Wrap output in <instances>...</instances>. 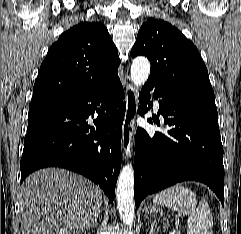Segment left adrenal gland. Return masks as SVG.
<instances>
[{"instance_id":"obj_1","label":"left adrenal gland","mask_w":241,"mask_h":234,"mask_svg":"<svg viewBox=\"0 0 241 234\" xmlns=\"http://www.w3.org/2000/svg\"><path fill=\"white\" fill-rule=\"evenodd\" d=\"M154 232H157V231L155 230V225L153 223V224H151V228H150L149 234H152Z\"/></svg>"}]
</instances>
